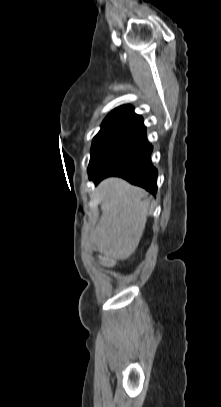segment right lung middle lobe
<instances>
[{"instance_id": "dd1d6c3e", "label": "right lung middle lobe", "mask_w": 221, "mask_h": 407, "mask_svg": "<svg viewBox=\"0 0 221 407\" xmlns=\"http://www.w3.org/2000/svg\"><path fill=\"white\" fill-rule=\"evenodd\" d=\"M138 130L139 128L119 127L99 131L92 142L91 158L88 166L89 177L96 175L119 148Z\"/></svg>"}]
</instances>
